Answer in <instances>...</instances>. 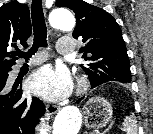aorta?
<instances>
[{
	"instance_id": "1",
	"label": "aorta",
	"mask_w": 153,
	"mask_h": 134,
	"mask_svg": "<svg viewBox=\"0 0 153 134\" xmlns=\"http://www.w3.org/2000/svg\"><path fill=\"white\" fill-rule=\"evenodd\" d=\"M50 22L54 29L61 31H70L75 26L73 15L66 9L53 11ZM81 119V113L77 107H64L55 117L52 134H78L81 128Z\"/></svg>"
}]
</instances>
